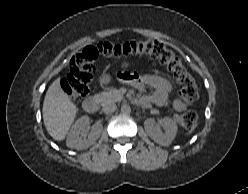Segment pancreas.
Listing matches in <instances>:
<instances>
[{"instance_id":"1","label":"pancreas","mask_w":248,"mask_h":194,"mask_svg":"<svg viewBox=\"0 0 248 194\" xmlns=\"http://www.w3.org/2000/svg\"><path fill=\"white\" fill-rule=\"evenodd\" d=\"M97 96L99 97L102 105H105L107 103L118 102L123 99V95L117 89H112L107 92H102Z\"/></svg>"}]
</instances>
